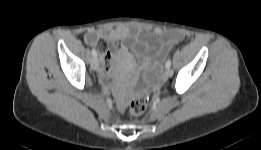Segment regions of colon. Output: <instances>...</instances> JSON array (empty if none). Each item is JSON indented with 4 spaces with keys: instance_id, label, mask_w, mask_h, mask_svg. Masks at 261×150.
I'll use <instances>...</instances> for the list:
<instances>
[{
    "instance_id": "colon-1",
    "label": "colon",
    "mask_w": 261,
    "mask_h": 150,
    "mask_svg": "<svg viewBox=\"0 0 261 150\" xmlns=\"http://www.w3.org/2000/svg\"><path fill=\"white\" fill-rule=\"evenodd\" d=\"M149 92L147 90L139 91L131 101L130 112L135 116L142 115L148 104Z\"/></svg>"
}]
</instances>
